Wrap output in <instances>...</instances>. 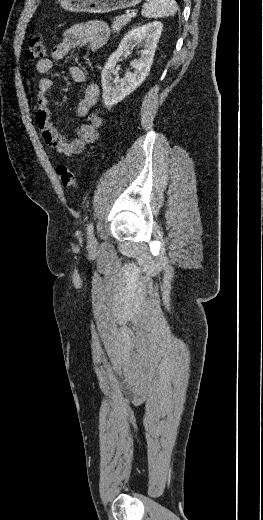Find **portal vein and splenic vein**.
Here are the masks:
<instances>
[{"instance_id": "18ae733b", "label": "portal vein and splenic vein", "mask_w": 263, "mask_h": 520, "mask_svg": "<svg viewBox=\"0 0 263 520\" xmlns=\"http://www.w3.org/2000/svg\"><path fill=\"white\" fill-rule=\"evenodd\" d=\"M135 14H136V12L134 10H132L131 12L127 13V16L128 17H133V16H135Z\"/></svg>"}]
</instances>
